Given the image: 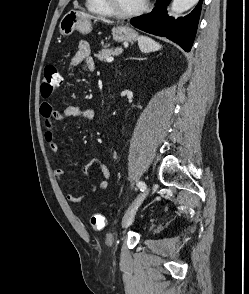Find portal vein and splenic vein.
Wrapping results in <instances>:
<instances>
[{
    "mask_svg": "<svg viewBox=\"0 0 249 294\" xmlns=\"http://www.w3.org/2000/svg\"><path fill=\"white\" fill-rule=\"evenodd\" d=\"M113 60H114L113 57H108V58L106 59V62L111 63V62H113Z\"/></svg>",
    "mask_w": 249,
    "mask_h": 294,
    "instance_id": "1",
    "label": "portal vein and splenic vein"
}]
</instances>
